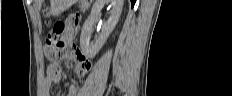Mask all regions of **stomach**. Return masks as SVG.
<instances>
[{
	"instance_id": "stomach-1",
	"label": "stomach",
	"mask_w": 232,
	"mask_h": 96,
	"mask_svg": "<svg viewBox=\"0 0 232 96\" xmlns=\"http://www.w3.org/2000/svg\"><path fill=\"white\" fill-rule=\"evenodd\" d=\"M71 2L72 0H52L50 13L53 16H58L71 5Z\"/></svg>"
}]
</instances>
